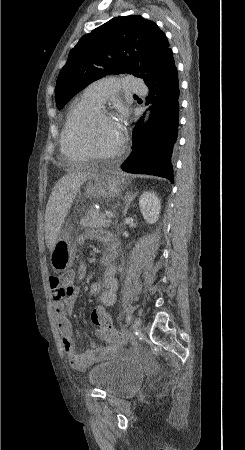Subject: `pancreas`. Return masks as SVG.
<instances>
[{"mask_svg": "<svg viewBox=\"0 0 245 450\" xmlns=\"http://www.w3.org/2000/svg\"><path fill=\"white\" fill-rule=\"evenodd\" d=\"M110 224L111 220L107 219L104 214L94 208H90L85 217L80 221L82 227L89 228H107Z\"/></svg>", "mask_w": 245, "mask_h": 450, "instance_id": "1", "label": "pancreas"}]
</instances>
